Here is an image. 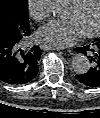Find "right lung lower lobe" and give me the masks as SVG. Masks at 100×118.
Returning <instances> with one entry per match:
<instances>
[{
	"label": "right lung lower lobe",
	"mask_w": 100,
	"mask_h": 118,
	"mask_svg": "<svg viewBox=\"0 0 100 118\" xmlns=\"http://www.w3.org/2000/svg\"><path fill=\"white\" fill-rule=\"evenodd\" d=\"M30 33L20 39L0 41V80L12 85L30 82L38 73L42 50L29 44Z\"/></svg>",
	"instance_id": "1"
}]
</instances>
